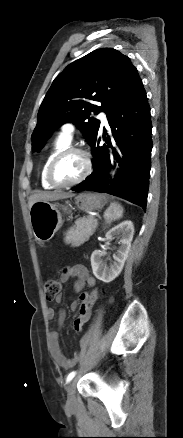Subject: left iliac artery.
Returning a JSON list of instances; mask_svg holds the SVG:
<instances>
[{
	"instance_id": "1",
	"label": "left iliac artery",
	"mask_w": 183,
	"mask_h": 438,
	"mask_svg": "<svg viewBox=\"0 0 183 438\" xmlns=\"http://www.w3.org/2000/svg\"><path fill=\"white\" fill-rule=\"evenodd\" d=\"M75 374H76L75 371L69 373V375L67 376V383L70 382L74 378Z\"/></svg>"
}]
</instances>
